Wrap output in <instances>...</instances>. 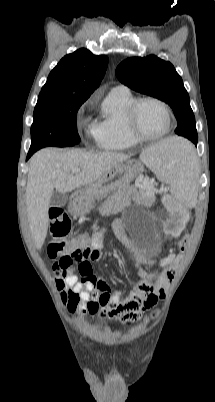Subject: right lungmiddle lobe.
<instances>
[{
    "instance_id": "dd1d6c3e",
    "label": "right lung middle lobe",
    "mask_w": 215,
    "mask_h": 402,
    "mask_svg": "<svg viewBox=\"0 0 215 402\" xmlns=\"http://www.w3.org/2000/svg\"><path fill=\"white\" fill-rule=\"evenodd\" d=\"M83 97L39 96L31 126V147L34 153L46 146L66 147L80 142L76 118Z\"/></svg>"
}]
</instances>
